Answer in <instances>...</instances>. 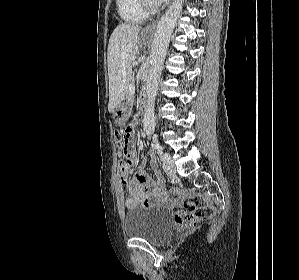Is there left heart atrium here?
I'll return each mask as SVG.
<instances>
[{
	"instance_id": "1",
	"label": "left heart atrium",
	"mask_w": 299,
	"mask_h": 280,
	"mask_svg": "<svg viewBox=\"0 0 299 280\" xmlns=\"http://www.w3.org/2000/svg\"><path fill=\"white\" fill-rule=\"evenodd\" d=\"M155 4H160L162 2H164L165 0H152Z\"/></svg>"
}]
</instances>
